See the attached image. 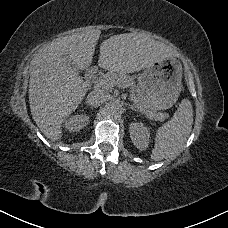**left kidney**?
Returning a JSON list of instances; mask_svg holds the SVG:
<instances>
[{
  "label": "left kidney",
  "mask_w": 228,
  "mask_h": 228,
  "mask_svg": "<svg viewBox=\"0 0 228 228\" xmlns=\"http://www.w3.org/2000/svg\"><path fill=\"white\" fill-rule=\"evenodd\" d=\"M130 138L133 144L141 151L146 150L149 145L150 130L143 123H131L129 126Z\"/></svg>",
  "instance_id": "5707ae66"
}]
</instances>
